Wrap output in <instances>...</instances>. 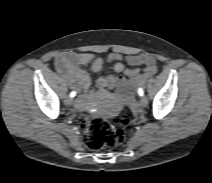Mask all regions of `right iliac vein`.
I'll list each match as a JSON object with an SVG mask.
<instances>
[{
    "instance_id": "63e3f726",
    "label": "right iliac vein",
    "mask_w": 212,
    "mask_h": 183,
    "mask_svg": "<svg viewBox=\"0 0 212 183\" xmlns=\"http://www.w3.org/2000/svg\"><path fill=\"white\" fill-rule=\"evenodd\" d=\"M72 103H73V99L71 97L68 96V97L65 98V104L67 106H71Z\"/></svg>"
}]
</instances>
